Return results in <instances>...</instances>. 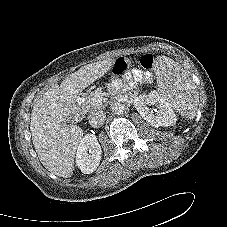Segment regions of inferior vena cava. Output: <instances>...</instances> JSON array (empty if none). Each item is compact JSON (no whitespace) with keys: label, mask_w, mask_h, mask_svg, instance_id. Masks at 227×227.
<instances>
[{"label":"inferior vena cava","mask_w":227,"mask_h":227,"mask_svg":"<svg viewBox=\"0 0 227 227\" xmlns=\"http://www.w3.org/2000/svg\"><path fill=\"white\" fill-rule=\"evenodd\" d=\"M106 114L102 110H96L89 115V124L94 128H99L105 122Z\"/></svg>","instance_id":"602c4592"}]
</instances>
